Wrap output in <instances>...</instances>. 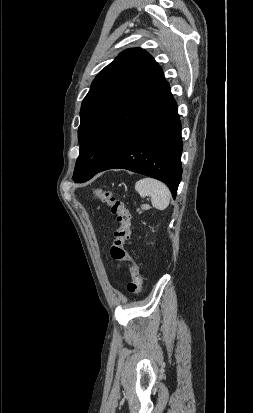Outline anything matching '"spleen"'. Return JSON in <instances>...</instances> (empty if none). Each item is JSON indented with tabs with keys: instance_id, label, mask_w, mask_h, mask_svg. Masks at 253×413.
Masks as SVG:
<instances>
[{
	"instance_id": "1",
	"label": "spleen",
	"mask_w": 253,
	"mask_h": 413,
	"mask_svg": "<svg viewBox=\"0 0 253 413\" xmlns=\"http://www.w3.org/2000/svg\"><path fill=\"white\" fill-rule=\"evenodd\" d=\"M135 190L141 197L149 196L152 206L164 210L170 203L171 194L168 187L153 178H143L136 182Z\"/></svg>"
}]
</instances>
